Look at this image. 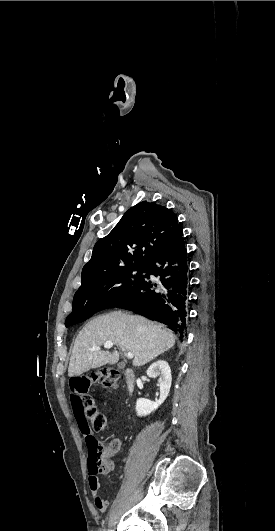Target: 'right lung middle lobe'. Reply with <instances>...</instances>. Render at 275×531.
I'll use <instances>...</instances> for the list:
<instances>
[{"label":"right lung middle lobe","mask_w":275,"mask_h":531,"mask_svg":"<svg viewBox=\"0 0 275 531\" xmlns=\"http://www.w3.org/2000/svg\"><path fill=\"white\" fill-rule=\"evenodd\" d=\"M146 266H131L105 273L80 286L65 326L83 322L93 314L125 302L142 282Z\"/></svg>","instance_id":"dd1d6c3e"}]
</instances>
